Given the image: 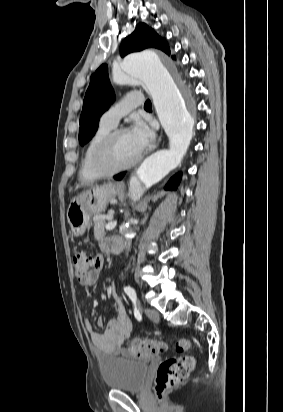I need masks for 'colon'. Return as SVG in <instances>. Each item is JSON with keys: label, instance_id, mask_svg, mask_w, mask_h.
<instances>
[{"label": "colon", "instance_id": "1", "mask_svg": "<svg viewBox=\"0 0 283 412\" xmlns=\"http://www.w3.org/2000/svg\"><path fill=\"white\" fill-rule=\"evenodd\" d=\"M101 263L98 255H89L85 251L75 252L73 256L74 274L79 280L87 278L88 274ZM192 345L188 339H180L176 343L179 352H186ZM167 348V343L161 340H138L129 342L128 352L135 358H149L159 355ZM196 359L193 355H183L164 360L157 371L156 392L160 399L165 392L183 382L194 368Z\"/></svg>", "mask_w": 283, "mask_h": 412}]
</instances>
